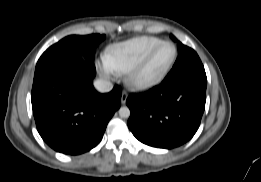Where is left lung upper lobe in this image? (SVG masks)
I'll return each mask as SVG.
<instances>
[{"label":"left lung upper lobe","mask_w":261,"mask_h":182,"mask_svg":"<svg viewBox=\"0 0 261 182\" xmlns=\"http://www.w3.org/2000/svg\"><path fill=\"white\" fill-rule=\"evenodd\" d=\"M171 38L174 41H177V39L173 35H171ZM177 46L179 57L177 58L172 70L169 72L165 79H171L187 73L204 70L199 56L193 49L183 45L179 41L177 42Z\"/></svg>","instance_id":"obj_1"}]
</instances>
